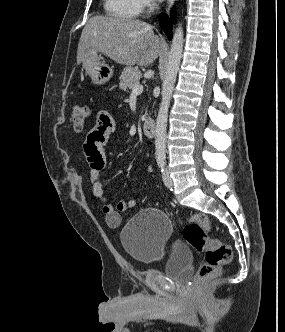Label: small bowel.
I'll return each mask as SVG.
<instances>
[{
  "mask_svg": "<svg viewBox=\"0 0 285 332\" xmlns=\"http://www.w3.org/2000/svg\"><path fill=\"white\" fill-rule=\"evenodd\" d=\"M115 127V120L109 113L105 111L99 112L96 123L88 132L83 144L85 157L90 167L92 192L94 197L101 203L106 224L111 228H116L120 225V213L128 211L137 204L135 199L120 200L116 205L112 204L100 180L101 172L105 168L106 163L104 147L111 134L115 131Z\"/></svg>",
  "mask_w": 285,
  "mask_h": 332,
  "instance_id": "1",
  "label": "small bowel"
}]
</instances>
